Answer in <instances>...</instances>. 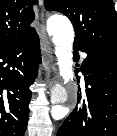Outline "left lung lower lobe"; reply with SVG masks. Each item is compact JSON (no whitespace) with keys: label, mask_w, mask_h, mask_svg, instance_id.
<instances>
[{"label":"left lung lower lobe","mask_w":117,"mask_h":136,"mask_svg":"<svg viewBox=\"0 0 117 136\" xmlns=\"http://www.w3.org/2000/svg\"><path fill=\"white\" fill-rule=\"evenodd\" d=\"M80 70L85 88L78 89L77 106L59 128L57 136H117V56L88 51ZM79 81V78H78Z\"/></svg>","instance_id":"left-lung-lower-lobe-1"}]
</instances>
